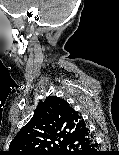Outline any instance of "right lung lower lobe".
<instances>
[{"label": "right lung lower lobe", "mask_w": 119, "mask_h": 155, "mask_svg": "<svg viewBox=\"0 0 119 155\" xmlns=\"http://www.w3.org/2000/svg\"><path fill=\"white\" fill-rule=\"evenodd\" d=\"M98 144L93 140L90 130L83 131L69 139L57 155H99Z\"/></svg>", "instance_id": "right-lung-lower-lobe-1"}]
</instances>
